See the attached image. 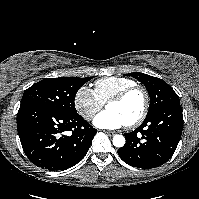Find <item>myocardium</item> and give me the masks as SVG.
<instances>
[{"label": "myocardium", "instance_id": "1", "mask_svg": "<svg viewBox=\"0 0 199 199\" xmlns=\"http://www.w3.org/2000/svg\"><path fill=\"white\" fill-rule=\"evenodd\" d=\"M134 91H139L142 93L143 107L139 116L133 121L126 124L127 128H133L138 126L146 118L150 107V96L148 90L141 85L135 84L120 91L118 94L110 98L106 104V106H108L111 103L122 102L129 94H131Z\"/></svg>", "mask_w": 199, "mask_h": 199}]
</instances>
